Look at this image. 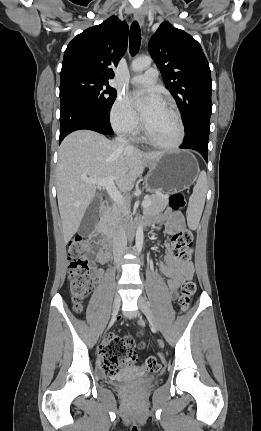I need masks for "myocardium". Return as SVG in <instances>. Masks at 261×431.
I'll return each instance as SVG.
<instances>
[{
  "mask_svg": "<svg viewBox=\"0 0 261 431\" xmlns=\"http://www.w3.org/2000/svg\"><path fill=\"white\" fill-rule=\"evenodd\" d=\"M163 105L166 108H168L174 114V116L176 118L177 125H178V134H177L176 140L170 144L160 143L152 137V135L149 133V131L146 129L145 126H143V134H144L145 139L152 146H154L160 150H164V151H175L182 145V143L184 141V136H185L184 123L182 120V116L176 107H174L172 104H170L168 102H164Z\"/></svg>",
  "mask_w": 261,
  "mask_h": 431,
  "instance_id": "f54148a6",
  "label": "myocardium"
}]
</instances>
